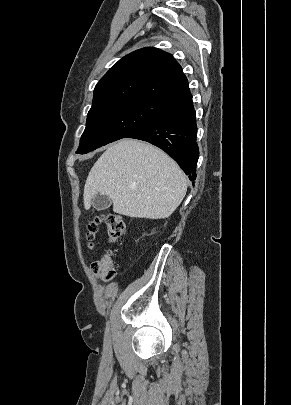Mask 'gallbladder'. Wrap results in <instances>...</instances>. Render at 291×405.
Listing matches in <instances>:
<instances>
[{
  "mask_svg": "<svg viewBox=\"0 0 291 405\" xmlns=\"http://www.w3.org/2000/svg\"><path fill=\"white\" fill-rule=\"evenodd\" d=\"M111 203L112 201L110 198L100 194L96 195L92 200V206L98 211L108 209L111 206Z\"/></svg>",
  "mask_w": 291,
  "mask_h": 405,
  "instance_id": "gallbladder-1",
  "label": "gallbladder"
}]
</instances>
